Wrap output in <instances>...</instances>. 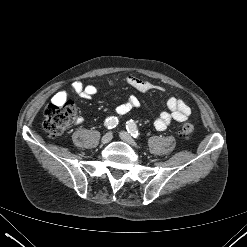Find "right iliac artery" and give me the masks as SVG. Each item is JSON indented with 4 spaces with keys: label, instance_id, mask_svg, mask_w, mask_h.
Segmentation results:
<instances>
[{
    "label": "right iliac artery",
    "instance_id": "right-iliac-artery-1",
    "mask_svg": "<svg viewBox=\"0 0 247 247\" xmlns=\"http://www.w3.org/2000/svg\"><path fill=\"white\" fill-rule=\"evenodd\" d=\"M118 124V119L117 117H110L108 119H106L105 121V126L108 128V129H113L117 126Z\"/></svg>",
    "mask_w": 247,
    "mask_h": 247
}]
</instances>
